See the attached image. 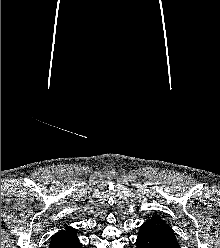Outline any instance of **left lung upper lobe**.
I'll list each match as a JSON object with an SVG mask.
<instances>
[{
	"label": "left lung upper lobe",
	"mask_w": 220,
	"mask_h": 248,
	"mask_svg": "<svg viewBox=\"0 0 220 248\" xmlns=\"http://www.w3.org/2000/svg\"><path fill=\"white\" fill-rule=\"evenodd\" d=\"M143 225L153 231V233L167 245L179 248V243L176 239L174 231L169 225H167L162 217L155 214Z\"/></svg>",
	"instance_id": "left-lung-upper-lobe-1"
}]
</instances>
